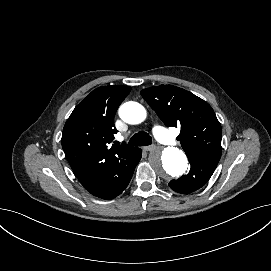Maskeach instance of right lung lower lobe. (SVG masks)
Listing matches in <instances>:
<instances>
[{"mask_svg":"<svg viewBox=\"0 0 271 271\" xmlns=\"http://www.w3.org/2000/svg\"><path fill=\"white\" fill-rule=\"evenodd\" d=\"M141 153V149L136 148L127 158L112 163L96 180L84 188L101 199L110 200L117 197L128 186L141 159Z\"/></svg>","mask_w":271,"mask_h":271,"instance_id":"obj_1","label":"right lung lower lobe"}]
</instances>
